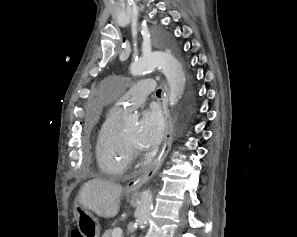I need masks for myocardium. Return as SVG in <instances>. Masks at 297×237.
Returning <instances> with one entry per match:
<instances>
[{
  "instance_id": "myocardium-1",
  "label": "myocardium",
  "mask_w": 297,
  "mask_h": 237,
  "mask_svg": "<svg viewBox=\"0 0 297 237\" xmlns=\"http://www.w3.org/2000/svg\"><path fill=\"white\" fill-rule=\"evenodd\" d=\"M121 140L126 146L127 150L130 152L132 156H139L141 154V150L139 147L130 143L122 134H120Z\"/></svg>"
}]
</instances>
